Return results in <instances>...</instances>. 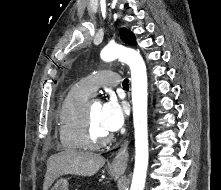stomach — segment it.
Listing matches in <instances>:
<instances>
[{"mask_svg":"<svg viewBox=\"0 0 221 190\" xmlns=\"http://www.w3.org/2000/svg\"><path fill=\"white\" fill-rule=\"evenodd\" d=\"M110 174L113 177L118 178L122 174V172L117 169H110ZM68 187H69V183L67 179H59L51 188V190H69Z\"/></svg>","mask_w":221,"mask_h":190,"instance_id":"obj_1","label":"stomach"}]
</instances>
